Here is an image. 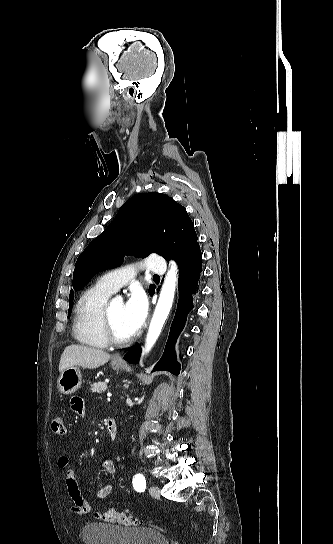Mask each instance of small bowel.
<instances>
[{"label": "small bowel", "instance_id": "obj_1", "mask_svg": "<svg viewBox=\"0 0 333 544\" xmlns=\"http://www.w3.org/2000/svg\"><path fill=\"white\" fill-rule=\"evenodd\" d=\"M71 408L78 416H85V404L79 397H74L71 400ZM57 466L59 469L65 471V484L68 495L72 501L71 511L75 515H84L90 512L91 506L89 502L82 495L75 473L69 468V459L66 456L58 458ZM102 469L108 474L116 472V464L112 459L106 458L102 462ZM113 486L106 484L102 486L96 493L98 499H106L112 494Z\"/></svg>", "mask_w": 333, "mask_h": 544}]
</instances>
